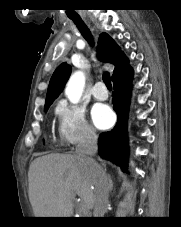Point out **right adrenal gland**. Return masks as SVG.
Wrapping results in <instances>:
<instances>
[{"label":"right adrenal gland","instance_id":"obj_1","mask_svg":"<svg viewBox=\"0 0 181 227\" xmlns=\"http://www.w3.org/2000/svg\"><path fill=\"white\" fill-rule=\"evenodd\" d=\"M107 179H108L109 184H110V190H112L113 189V182H112L111 176L109 174L107 175Z\"/></svg>","mask_w":181,"mask_h":227}]
</instances>
